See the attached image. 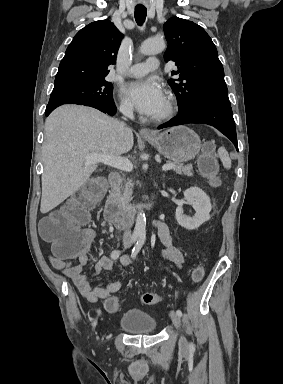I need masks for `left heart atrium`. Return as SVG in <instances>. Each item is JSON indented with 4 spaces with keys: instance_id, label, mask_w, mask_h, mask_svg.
<instances>
[{
    "instance_id": "left-heart-atrium-1",
    "label": "left heart atrium",
    "mask_w": 283,
    "mask_h": 384,
    "mask_svg": "<svg viewBox=\"0 0 283 384\" xmlns=\"http://www.w3.org/2000/svg\"><path fill=\"white\" fill-rule=\"evenodd\" d=\"M124 93L133 106L147 116H154L165 103L161 87L152 80L130 82Z\"/></svg>"
}]
</instances>
